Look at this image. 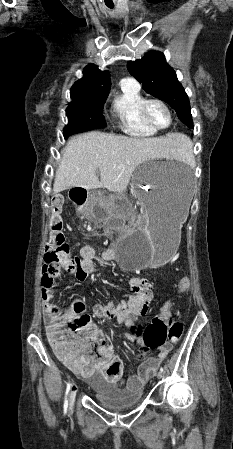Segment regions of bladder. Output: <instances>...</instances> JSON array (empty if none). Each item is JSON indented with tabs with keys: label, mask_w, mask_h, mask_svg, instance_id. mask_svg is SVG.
Returning <instances> with one entry per match:
<instances>
[{
	"label": "bladder",
	"mask_w": 233,
	"mask_h": 449,
	"mask_svg": "<svg viewBox=\"0 0 233 449\" xmlns=\"http://www.w3.org/2000/svg\"><path fill=\"white\" fill-rule=\"evenodd\" d=\"M93 395L101 406L109 410H125L137 406L143 400L140 387L117 388L104 382L92 384Z\"/></svg>",
	"instance_id": "1"
}]
</instances>
